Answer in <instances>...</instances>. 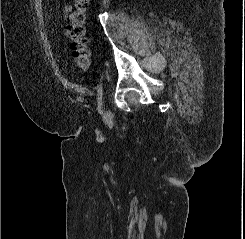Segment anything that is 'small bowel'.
Wrapping results in <instances>:
<instances>
[{
	"label": "small bowel",
	"mask_w": 245,
	"mask_h": 239,
	"mask_svg": "<svg viewBox=\"0 0 245 239\" xmlns=\"http://www.w3.org/2000/svg\"><path fill=\"white\" fill-rule=\"evenodd\" d=\"M70 10H71V8L69 6L65 8L66 12H69Z\"/></svg>",
	"instance_id": "small-bowel-1"
}]
</instances>
